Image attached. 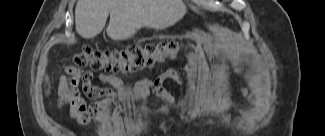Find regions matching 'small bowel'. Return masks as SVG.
Wrapping results in <instances>:
<instances>
[{"label":"small bowel","mask_w":325,"mask_h":136,"mask_svg":"<svg viewBox=\"0 0 325 136\" xmlns=\"http://www.w3.org/2000/svg\"><path fill=\"white\" fill-rule=\"evenodd\" d=\"M66 73L68 74V77L62 76V79L58 80V89L65 91H58L57 95L58 98H63L62 104L69 107L71 116L81 124H85L93 116H96L97 122L101 123L104 117L103 109L106 106L113 103L116 99L123 102H129L134 97L144 94L149 87L165 103L175 106L179 103L178 100L164 88L163 84L168 80L176 81L179 84L185 82V77L181 72L175 69H170L155 79L145 78L133 93H128L124 89L122 81L117 76L106 73L100 74L99 79L103 83L111 85L115 90V94H113L108 91H100L93 86V74L90 71L78 69L74 66H67ZM80 85L82 86L84 93L90 98L97 97L101 94H107L108 98L88 107L84 99L80 96L78 90ZM239 88L244 99L249 102L254 101V95L246 86L242 77L239 79Z\"/></svg>","instance_id":"c3829d8e"}]
</instances>
